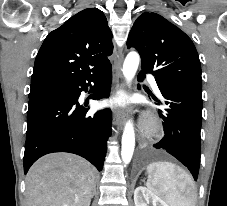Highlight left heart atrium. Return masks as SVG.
<instances>
[{
    "instance_id": "39dd6f15",
    "label": "left heart atrium",
    "mask_w": 227,
    "mask_h": 206,
    "mask_svg": "<svg viewBox=\"0 0 227 206\" xmlns=\"http://www.w3.org/2000/svg\"><path fill=\"white\" fill-rule=\"evenodd\" d=\"M124 102V99L122 96H115L113 98H111L107 104L111 105V106H119L122 105Z\"/></svg>"
}]
</instances>
